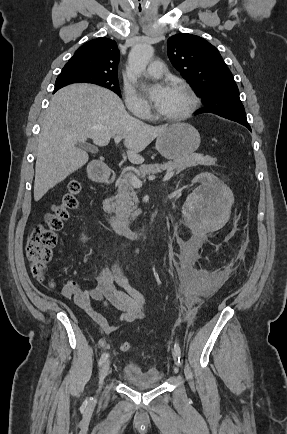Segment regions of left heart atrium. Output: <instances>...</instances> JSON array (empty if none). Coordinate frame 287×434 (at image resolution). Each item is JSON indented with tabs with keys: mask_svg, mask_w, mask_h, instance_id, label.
Instances as JSON below:
<instances>
[{
	"mask_svg": "<svg viewBox=\"0 0 287 434\" xmlns=\"http://www.w3.org/2000/svg\"><path fill=\"white\" fill-rule=\"evenodd\" d=\"M170 91L171 87L165 85L153 87L148 91L150 99L153 101L155 107L158 110L163 108V106L165 105L169 97Z\"/></svg>",
	"mask_w": 287,
	"mask_h": 434,
	"instance_id": "left-heart-atrium-1",
	"label": "left heart atrium"
}]
</instances>
